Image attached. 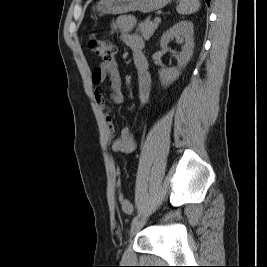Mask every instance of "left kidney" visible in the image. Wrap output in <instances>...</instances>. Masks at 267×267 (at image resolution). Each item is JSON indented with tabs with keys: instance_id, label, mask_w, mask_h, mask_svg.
Listing matches in <instances>:
<instances>
[{
	"instance_id": "obj_1",
	"label": "left kidney",
	"mask_w": 267,
	"mask_h": 267,
	"mask_svg": "<svg viewBox=\"0 0 267 267\" xmlns=\"http://www.w3.org/2000/svg\"><path fill=\"white\" fill-rule=\"evenodd\" d=\"M193 32L192 22L180 21L162 35L160 46L164 50L168 49V44L173 39L183 44L182 51L177 55L178 67L161 69L159 71V78L163 86L166 87L174 82L179 77L181 68L185 67L190 61L194 48Z\"/></svg>"
}]
</instances>
